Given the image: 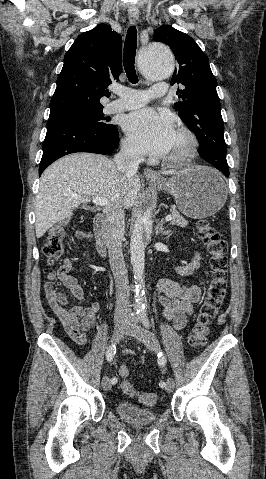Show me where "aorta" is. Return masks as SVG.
I'll return each instance as SVG.
<instances>
[{"label": "aorta", "instance_id": "obj_1", "mask_svg": "<svg viewBox=\"0 0 266 479\" xmlns=\"http://www.w3.org/2000/svg\"><path fill=\"white\" fill-rule=\"evenodd\" d=\"M138 64L142 73L154 81L169 78L174 71V57L171 50L164 44L151 43L143 47L138 56ZM142 222L133 226L130 241L131 264L135 279V300L137 309L144 310V272H145V240L151 238L154 204L146 195L141 200Z\"/></svg>", "mask_w": 266, "mask_h": 479}]
</instances>
